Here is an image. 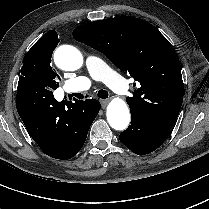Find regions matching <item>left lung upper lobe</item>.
I'll return each mask as SVG.
<instances>
[{"label": "left lung upper lobe", "instance_id": "obj_1", "mask_svg": "<svg viewBox=\"0 0 209 209\" xmlns=\"http://www.w3.org/2000/svg\"><path fill=\"white\" fill-rule=\"evenodd\" d=\"M73 37L102 52L140 84L126 98L131 112L172 127L183 102L181 67L173 46L153 25L117 16L85 23L75 28Z\"/></svg>", "mask_w": 209, "mask_h": 209}]
</instances>
